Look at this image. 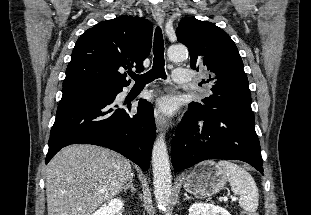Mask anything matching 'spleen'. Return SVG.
I'll use <instances>...</instances> for the list:
<instances>
[{"mask_svg": "<svg viewBox=\"0 0 311 215\" xmlns=\"http://www.w3.org/2000/svg\"><path fill=\"white\" fill-rule=\"evenodd\" d=\"M217 165L223 170L232 191L240 195V207L249 212V215H253L258 208L259 192L251 174L227 160H221Z\"/></svg>", "mask_w": 311, "mask_h": 215, "instance_id": "obj_1", "label": "spleen"}]
</instances>
